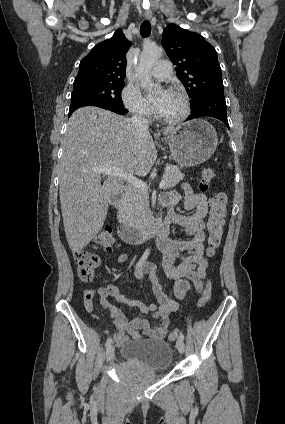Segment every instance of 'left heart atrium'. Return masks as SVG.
Segmentation results:
<instances>
[{
    "label": "left heart atrium",
    "instance_id": "left-heart-atrium-1",
    "mask_svg": "<svg viewBox=\"0 0 285 424\" xmlns=\"http://www.w3.org/2000/svg\"><path fill=\"white\" fill-rule=\"evenodd\" d=\"M169 95H170V93L168 91H163L162 92V94L160 95L159 99L154 104L156 111H158L162 107V105L167 100V98L169 97Z\"/></svg>",
    "mask_w": 285,
    "mask_h": 424
}]
</instances>
